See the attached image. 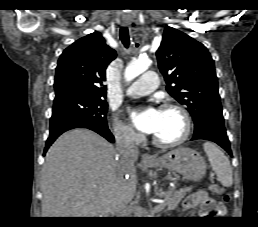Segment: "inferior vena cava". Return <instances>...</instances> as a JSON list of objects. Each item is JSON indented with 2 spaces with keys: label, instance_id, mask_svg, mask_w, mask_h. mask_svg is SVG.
Instances as JSON below:
<instances>
[{
  "label": "inferior vena cava",
  "instance_id": "obj_1",
  "mask_svg": "<svg viewBox=\"0 0 258 227\" xmlns=\"http://www.w3.org/2000/svg\"><path fill=\"white\" fill-rule=\"evenodd\" d=\"M116 149L119 154V163L123 166H133L139 155L134 143L133 134L126 129L118 131L115 135Z\"/></svg>",
  "mask_w": 258,
  "mask_h": 227
}]
</instances>
